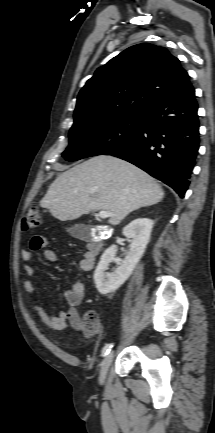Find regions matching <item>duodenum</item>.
Here are the masks:
<instances>
[{
    "label": "duodenum",
    "instance_id": "duodenum-1",
    "mask_svg": "<svg viewBox=\"0 0 215 433\" xmlns=\"http://www.w3.org/2000/svg\"><path fill=\"white\" fill-rule=\"evenodd\" d=\"M104 238V235L100 234L96 239L89 241L88 251L93 257L97 256L101 252Z\"/></svg>",
    "mask_w": 215,
    "mask_h": 433
}]
</instances>
